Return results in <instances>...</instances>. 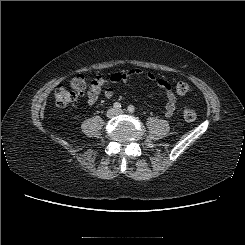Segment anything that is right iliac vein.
<instances>
[{
    "label": "right iliac vein",
    "instance_id": "1",
    "mask_svg": "<svg viewBox=\"0 0 245 245\" xmlns=\"http://www.w3.org/2000/svg\"><path fill=\"white\" fill-rule=\"evenodd\" d=\"M115 115H116V110H115V109L111 108V109L108 110L107 116H108L109 118H112V117H114Z\"/></svg>",
    "mask_w": 245,
    "mask_h": 245
}]
</instances>
